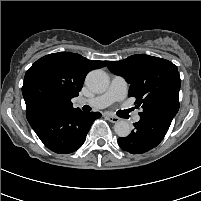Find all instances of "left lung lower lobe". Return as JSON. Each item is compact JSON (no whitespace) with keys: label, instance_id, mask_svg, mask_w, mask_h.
<instances>
[{"label":"left lung lower lobe","instance_id":"1","mask_svg":"<svg viewBox=\"0 0 201 201\" xmlns=\"http://www.w3.org/2000/svg\"><path fill=\"white\" fill-rule=\"evenodd\" d=\"M171 122L165 117L140 118L129 136L118 138V144L122 150L131 154L148 152L163 140Z\"/></svg>","mask_w":201,"mask_h":201}]
</instances>
